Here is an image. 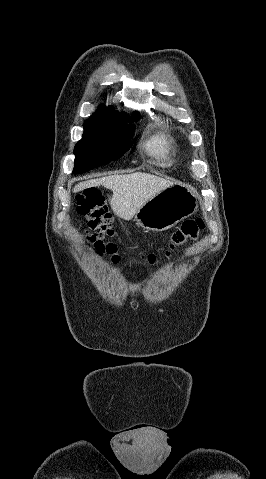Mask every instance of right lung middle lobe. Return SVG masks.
<instances>
[{
  "mask_svg": "<svg viewBox=\"0 0 266 479\" xmlns=\"http://www.w3.org/2000/svg\"><path fill=\"white\" fill-rule=\"evenodd\" d=\"M134 126L116 121H86L82 139L74 148V173L87 172L120 158L130 144L129 134Z\"/></svg>",
  "mask_w": 266,
  "mask_h": 479,
  "instance_id": "obj_1",
  "label": "right lung middle lobe"
}]
</instances>
